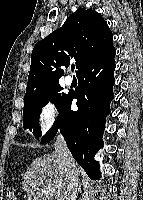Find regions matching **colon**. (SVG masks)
Wrapping results in <instances>:
<instances>
[{
    "instance_id": "colon-1",
    "label": "colon",
    "mask_w": 143,
    "mask_h": 200,
    "mask_svg": "<svg viewBox=\"0 0 143 200\" xmlns=\"http://www.w3.org/2000/svg\"><path fill=\"white\" fill-rule=\"evenodd\" d=\"M8 200H16L15 192L13 190L8 192Z\"/></svg>"
}]
</instances>
